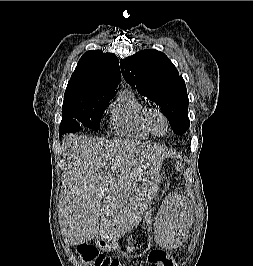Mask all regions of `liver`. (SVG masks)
<instances>
[{
	"label": "liver",
	"mask_w": 253,
	"mask_h": 266,
	"mask_svg": "<svg viewBox=\"0 0 253 266\" xmlns=\"http://www.w3.org/2000/svg\"><path fill=\"white\" fill-rule=\"evenodd\" d=\"M63 144L70 151L62 230L71 244L98 236L114 239L136 226L158 189L159 167L170 156L168 149L73 134Z\"/></svg>",
	"instance_id": "6515ba94"
}]
</instances>
